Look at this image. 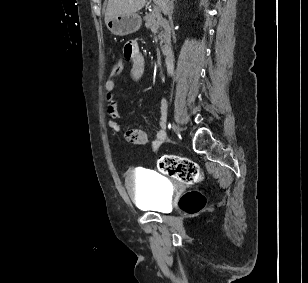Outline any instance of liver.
Returning a JSON list of instances; mask_svg holds the SVG:
<instances>
[{
  "label": "liver",
  "mask_w": 308,
  "mask_h": 283,
  "mask_svg": "<svg viewBox=\"0 0 308 283\" xmlns=\"http://www.w3.org/2000/svg\"><path fill=\"white\" fill-rule=\"evenodd\" d=\"M155 3H160L163 9L164 3L167 0H153ZM169 1V0H168ZM147 0H108L107 9L105 12V23L118 15H129L136 13L142 9Z\"/></svg>",
  "instance_id": "1"
}]
</instances>
